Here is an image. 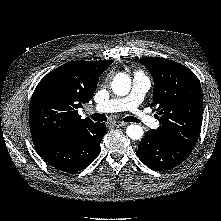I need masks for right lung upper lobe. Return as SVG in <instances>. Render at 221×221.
<instances>
[{"label": "right lung upper lobe", "instance_id": "right-lung-upper-lobe-1", "mask_svg": "<svg viewBox=\"0 0 221 221\" xmlns=\"http://www.w3.org/2000/svg\"><path fill=\"white\" fill-rule=\"evenodd\" d=\"M106 61H73L45 75L34 90L29 106L32 138H65L96 123L81 119L78 109L92 99Z\"/></svg>", "mask_w": 221, "mask_h": 221}]
</instances>
